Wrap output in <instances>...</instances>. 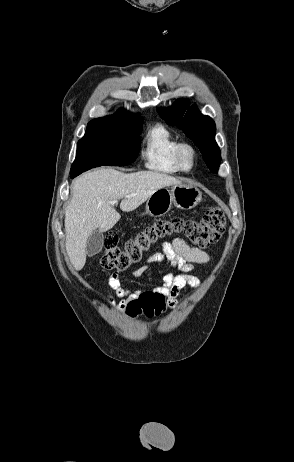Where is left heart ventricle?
<instances>
[{
  "instance_id": "left-heart-ventricle-1",
  "label": "left heart ventricle",
  "mask_w": 294,
  "mask_h": 462,
  "mask_svg": "<svg viewBox=\"0 0 294 462\" xmlns=\"http://www.w3.org/2000/svg\"><path fill=\"white\" fill-rule=\"evenodd\" d=\"M184 162H185V165H186V166H189V165H190L191 158H190L189 152H186V153H185V155H184Z\"/></svg>"
}]
</instances>
